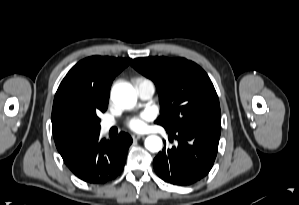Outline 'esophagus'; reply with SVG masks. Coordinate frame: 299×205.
<instances>
[{"label": "esophagus", "mask_w": 299, "mask_h": 205, "mask_svg": "<svg viewBox=\"0 0 299 205\" xmlns=\"http://www.w3.org/2000/svg\"><path fill=\"white\" fill-rule=\"evenodd\" d=\"M143 136L142 135H138V134H133L132 135V139L135 141V140H139L140 138H142Z\"/></svg>", "instance_id": "obj_1"}]
</instances>
